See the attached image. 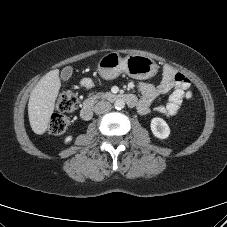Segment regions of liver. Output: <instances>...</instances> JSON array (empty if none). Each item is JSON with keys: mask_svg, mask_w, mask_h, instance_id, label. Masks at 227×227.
I'll return each instance as SVG.
<instances>
[{"mask_svg": "<svg viewBox=\"0 0 227 227\" xmlns=\"http://www.w3.org/2000/svg\"><path fill=\"white\" fill-rule=\"evenodd\" d=\"M61 87L59 70L46 73L33 88L28 102V116L34 133L46 132Z\"/></svg>", "mask_w": 227, "mask_h": 227, "instance_id": "liver-1", "label": "liver"}]
</instances>
